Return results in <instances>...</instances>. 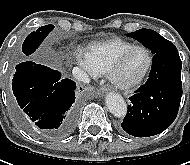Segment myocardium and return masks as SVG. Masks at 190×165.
I'll list each match as a JSON object with an SVG mask.
<instances>
[{
    "mask_svg": "<svg viewBox=\"0 0 190 165\" xmlns=\"http://www.w3.org/2000/svg\"><path fill=\"white\" fill-rule=\"evenodd\" d=\"M137 49H143L147 52L148 65L146 69L144 70V72L139 77L131 81H125L120 76L124 61L130 53H132L133 51ZM153 62H154V57L151 50L148 47L144 45H133L132 47L126 49L119 55L113 68L111 69L108 75L109 79L116 88L121 89V90H131L139 86L147 78V76L149 75L153 67Z\"/></svg>",
    "mask_w": 190,
    "mask_h": 165,
    "instance_id": "f54148a6",
    "label": "myocardium"
}]
</instances>
